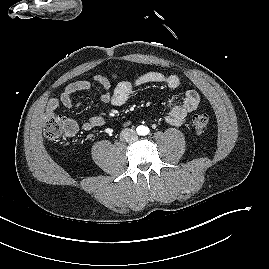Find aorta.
I'll return each instance as SVG.
<instances>
[{
  "label": "aorta",
  "instance_id": "aorta-1",
  "mask_svg": "<svg viewBox=\"0 0 269 269\" xmlns=\"http://www.w3.org/2000/svg\"><path fill=\"white\" fill-rule=\"evenodd\" d=\"M145 129H146V127H144V126L139 127V128H138V133H139L140 135H144V134H145Z\"/></svg>",
  "mask_w": 269,
  "mask_h": 269
}]
</instances>
